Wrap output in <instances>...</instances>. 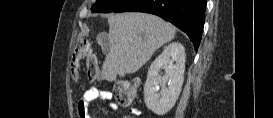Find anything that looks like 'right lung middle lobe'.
<instances>
[{"label": "right lung middle lobe", "mask_w": 273, "mask_h": 118, "mask_svg": "<svg viewBox=\"0 0 273 118\" xmlns=\"http://www.w3.org/2000/svg\"><path fill=\"white\" fill-rule=\"evenodd\" d=\"M127 0H97L92 6V12H103L109 13L116 11L121 5H123Z\"/></svg>", "instance_id": "dd1d6c3e"}]
</instances>
